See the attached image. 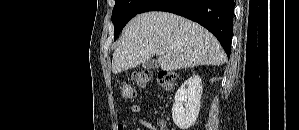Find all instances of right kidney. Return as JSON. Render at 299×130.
Segmentation results:
<instances>
[{
    "instance_id": "1",
    "label": "right kidney",
    "mask_w": 299,
    "mask_h": 130,
    "mask_svg": "<svg viewBox=\"0 0 299 130\" xmlns=\"http://www.w3.org/2000/svg\"><path fill=\"white\" fill-rule=\"evenodd\" d=\"M201 95L202 81L198 75L188 78L177 90L172 107V119L181 130H187L196 122L200 111Z\"/></svg>"
}]
</instances>
